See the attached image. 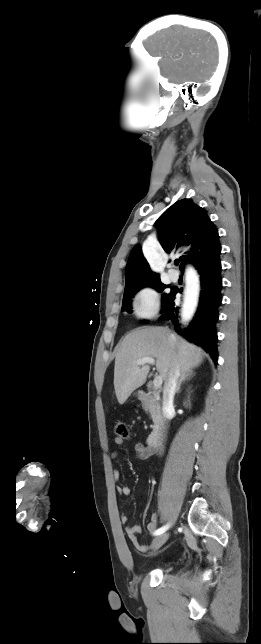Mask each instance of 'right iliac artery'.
Here are the masks:
<instances>
[{
    "mask_svg": "<svg viewBox=\"0 0 261 644\" xmlns=\"http://www.w3.org/2000/svg\"><path fill=\"white\" fill-rule=\"evenodd\" d=\"M168 528H169V524H167V525H165V526H163V527H161V528L157 529L153 534H154V535H161V534H162V533H164Z\"/></svg>",
    "mask_w": 261,
    "mask_h": 644,
    "instance_id": "82829eb1",
    "label": "right iliac artery"
}]
</instances>
